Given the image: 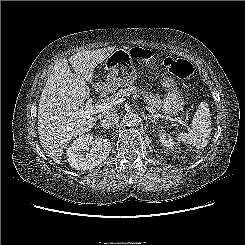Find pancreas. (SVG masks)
<instances>
[{
	"instance_id": "obj_1",
	"label": "pancreas",
	"mask_w": 245,
	"mask_h": 245,
	"mask_svg": "<svg viewBox=\"0 0 245 245\" xmlns=\"http://www.w3.org/2000/svg\"><path fill=\"white\" fill-rule=\"evenodd\" d=\"M138 93V94H137ZM130 95H140L142 96L144 102L151 106L152 108L158 109V110H163L164 108V102L160 99L159 95H154L153 92L151 91H146L144 89H138L135 86H130L128 88H122L120 89L116 94H114L110 100L111 101H116L117 99L125 96H130Z\"/></svg>"
}]
</instances>
